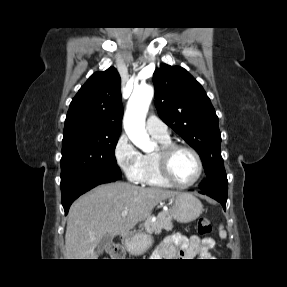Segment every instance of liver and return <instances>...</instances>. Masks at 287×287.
<instances>
[{"label": "liver", "instance_id": "obj_1", "mask_svg": "<svg viewBox=\"0 0 287 287\" xmlns=\"http://www.w3.org/2000/svg\"><path fill=\"white\" fill-rule=\"evenodd\" d=\"M179 192L142 188L124 182L97 186L70 207L65 233L66 259H97L98 242L117 236L145 220L161 201ZM128 210L127 216L121 213Z\"/></svg>", "mask_w": 287, "mask_h": 287}]
</instances>
